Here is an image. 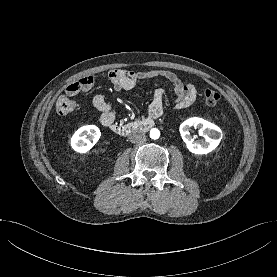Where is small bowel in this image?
Segmentation results:
<instances>
[{
  "mask_svg": "<svg viewBox=\"0 0 277 277\" xmlns=\"http://www.w3.org/2000/svg\"><path fill=\"white\" fill-rule=\"evenodd\" d=\"M108 79L113 84L114 90L121 92L124 90L133 89L136 84L146 79H163L170 83L175 94V107L176 109H185L191 106L197 97V90L195 86L180 79L174 72L170 70H147V71H126L122 69L112 70L108 73ZM81 81L85 82L86 89L81 93L73 94L71 87L77 82L72 83L67 88V93L74 96L80 95L89 90L95 83V78L88 76L82 78ZM164 89L157 88L154 92L153 99L149 108V114L153 118L161 117L164 113ZM93 107L100 112V123L104 126H108L109 123H113L115 120V113L113 112L111 105L106 100L103 94H96L92 99Z\"/></svg>",
  "mask_w": 277,
  "mask_h": 277,
  "instance_id": "1",
  "label": "small bowel"
}]
</instances>
